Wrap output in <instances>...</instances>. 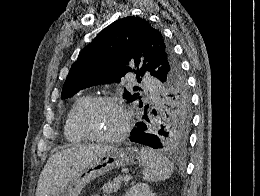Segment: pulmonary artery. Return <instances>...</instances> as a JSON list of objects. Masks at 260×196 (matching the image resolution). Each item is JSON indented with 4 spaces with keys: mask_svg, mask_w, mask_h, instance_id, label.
Masks as SVG:
<instances>
[{
    "mask_svg": "<svg viewBox=\"0 0 260 196\" xmlns=\"http://www.w3.org/2000/svg\"><path fill=\"white\" fill-rule=\"evenodd\" d=\"M144 84H153V79H144Z\"/></svg>",
    "mask_w": 260,
    "mask_h": 196,
    "instance_id": "obj_1",
    "label": "pulmonary artery"
}]
</instances>
